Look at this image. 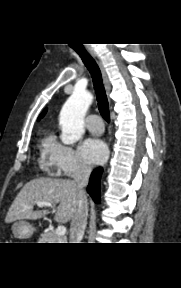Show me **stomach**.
<instances>
[{"mask_svg": "<svg viewBox=\"0 0 181 288\" xmlns=\"http://www.w3.org/2000/svg\"><path fill=\"white\" fill-rule=\"evenodd\" d=\"M12 232L18 239H28L34 234L35 229L25 221H17L12 225Z\"/></svg>", "mask_w": 181, "mask_h": 288, "instance_id": "obj_1", "label": "stomach"}]
</instances>
